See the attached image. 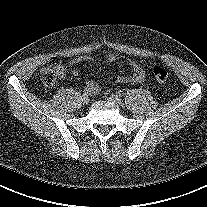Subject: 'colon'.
<instances>
[{
	"mask_svg": "<svg viewBox=\"0 0 207 207\" xmlns=\"http://www.w3.org/2000/svg\"><path fill=\"white\" fill-rule=\"evenodd\" d=\"M63 69L62 64L57 59L51 60L41 70L40 77L42 82L47 86H53L57 79L60 78ZM153 74L155 79L161 83L166 82L169 76L167 70L159 66L153 69Z\"/></svg>",
	"mask_w": 207,
	"mask_h": 207,
	"instance_id": "obj_1",
	"label": "colon"
}]
</instances>
